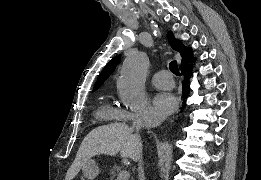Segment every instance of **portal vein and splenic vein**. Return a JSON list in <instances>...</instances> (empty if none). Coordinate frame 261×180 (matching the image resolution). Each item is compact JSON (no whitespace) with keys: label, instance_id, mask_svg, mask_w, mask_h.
Segmentation results:
<instances>
[{"label":"portal vein and splenic vein","instance_id":"obj_1","mask_svg":"<svg viewBox=\"0 0 261 180\" xmlns=\"http://www.w3.org/2000/svg\"><path fill=\"white\" fill-rule=\"evenodd\" d=\"M130 178V172H127V170H123L121 174H119L117 180H129Z\"/></svg>","mask_w":261,"mask_h":180}]
</instances>
